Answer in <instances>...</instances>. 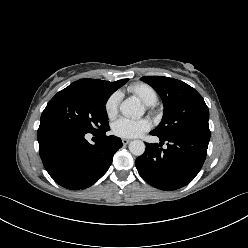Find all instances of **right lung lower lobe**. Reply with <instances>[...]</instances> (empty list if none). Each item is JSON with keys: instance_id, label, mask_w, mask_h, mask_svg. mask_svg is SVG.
<instances>
[{"instance_id": "obj_1", "label": "right lung lower lobe", "mask_w": 248, "mask_h": 248, "mask_svg": "<svg viewBox=\"0 0 248 248\" xmlns=\"http://www.w3.org/2000/svg\"><path fill=\"white\" fill-rule=\"evenodd\" d=\"M106 131L94 133L98 139L92 145L85 139L86 133L55 125L39 127L40 157L52 179L71 190L85 189L98 181L122 147L121 139L106 136Z\"/></svg>"}]
</instances>
